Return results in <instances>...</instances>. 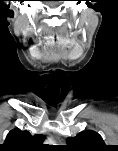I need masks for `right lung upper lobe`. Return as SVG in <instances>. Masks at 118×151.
Here are the masks:
<instances>
[{"label": "right lung upper lobe", "instance_id": "right-lung-upper-lobe-1", "mask_svg": "<svg viewBox=\"0 0 118 151\" xmlns=\"http://www.w3.org/2000/svg\"><path fill=\"white\" fill-rule=\"evenodd\" d=\"M44 135L32 136L28 131H21L20 129H14L9 132L4 144H0V151H34L40 150L44 146Z\"/></svg>", "mask_w": 118, "mask_h": 151}]
</instances>
